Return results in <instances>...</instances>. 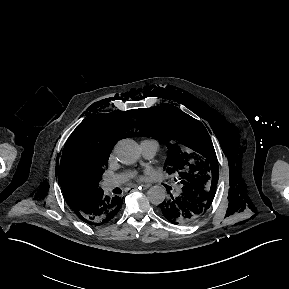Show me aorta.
Returning a JSON list of instances; mask_svg holds the SVG:
<instances>
[{
  "label": "aorta",
  "mask_w": 289,
  "mask_h": 289,
  "mask_svg": "<svg viewBox=\"0 0 289 289\" xmlns=\"http://www.w3.org/2000/svg\"><path fill=\"white\" fill-rule=\"evenodd\" d=\"M114 153L122 164H133L140 159L139 145L132 139L126 138L117 142ZM166 197V191L162 186L155 185L148 190V199L152 204H161Z\"/></svg>",
  "instance_id": "obj_1"
}]
</instances>
